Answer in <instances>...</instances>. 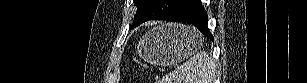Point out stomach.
<instances>
[{
	"instance_id": "1",
	"label": "stomach",
	"mask_w": 307,
	"mask_h": 83,
	"mask_svg": "<svg viewBox=\"0 0 307 83\" xmlns=\"http://www.w3.org/2000/svg\"><path fill=\"white\" fill-rule=\"evenodd\" d=\"M203 42V36L190 26L164 24L142 37L138 54L147 62L167 66L196 53Z\"/></svg>"
}]
</instances>
